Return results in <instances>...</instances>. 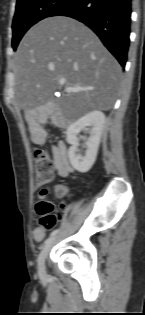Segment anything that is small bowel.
Returning a JSON list of instances; mask_svg holds the SVG:
<instances>
[{"label": "small bowel", "mask_w": 145, "mask_h": 315, "mask_svg": "<svg viewBox=\"0 0 145 315\" xmlns=\"http://www.w3.org/2000/svg\"><path fill=\"white\" fill-rule=\"evenodd\" d=\"M30 134L31 138L35 143H42L44 141V131L41 127L40 120L33 121L30 125ZM52 155H53V163L55 170L58 176L65 178L72 173L73 168L70 165L69 157H68V149L64 142L59 141L58 143L52 145ZM68 188L64 185H58L55 188V194L58 197H63L66 195ZM50 217H60L57 216H50ZM40 224H37L36 228L33 231V238L36 241H40L46 234L47 229H40ZM50 226L52 224H49ZM49 226V227H50Z\"/></svg>", "instance_id": "1"}]
</instances>
